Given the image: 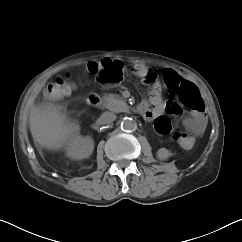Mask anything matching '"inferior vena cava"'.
Masks as SVG:
<instances>
[{"label":"inferior vena cava","mask_w":242,"mask_h":242,"mask_svg":"<svg viewBox=\"0 0 242 242\" xmlns=\"http://www.w3.org/2000/svg\"><path fill=\"white\" fill-rule=\"evenodd\" d=\"M116 119V115L113 112H104L100 116V121L103 124H110Z\"/></svg>","instance_id":"1"}]
</instances>
